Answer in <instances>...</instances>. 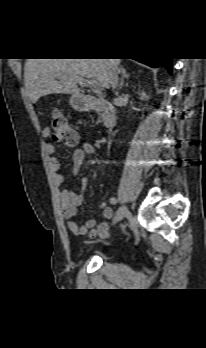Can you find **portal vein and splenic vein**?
Listing matches in <instances>:
<instances>
[{
    "instance_id": "obj_1",
    "label": "portal vein and splenic vein",
    "mask_w": 206,
    "mask_h": 348,
    "mask_svg": "<svg viewBox=\"0 0 206 348\" xmlns=\"http://www.w3.org/2000/svg\"><path fill=\"white\" fill-rule=\"evenodd\" d=\"M76 82L82 87H90L95 92H99L101 90V85L96 80H87L83 77H79L76 79Z\"/></svg>"
}]
</instances>
